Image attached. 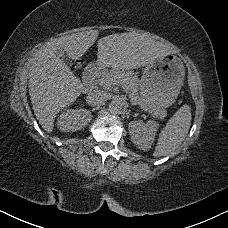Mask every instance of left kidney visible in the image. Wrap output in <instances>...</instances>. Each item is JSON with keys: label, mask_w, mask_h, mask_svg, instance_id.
I'll return each instance as SVG.
<instances>
[{"label": "left kidney", "mask_w": 228, "mask_h": 228, "mask_svg": "<svg viewBox=\"0 0 228 228\" xmlns=\"http://www.w3.org/2000/svg\"><path fill=\"white\" fill-rule=\"evenodd\" d=\"M131 141L142 151H146L151 148L155 131L157 130V124L154 121L136 120L131 121L128 125Z\"/></svg>", "instance_id": "1"}]
</instances>
